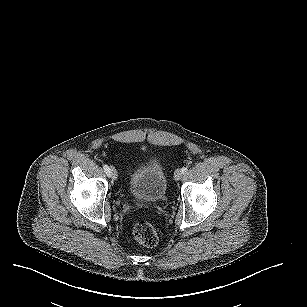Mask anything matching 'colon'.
<instances>
[{"label":"colon","mask_w":307,"mask_h":307,"mask_svg":"<svg viewBox=\"0 0 307 307\" xmlns=\"http://www.w3.org/2000/svg\"><path fill=\"white\" fill-rule=\"evenodd\" d=\"M134 238L143 246L154 247L158 243V235L152 223L140 220L133 227Z\"/></svg>","instance_id":"1"}]
</instances>
